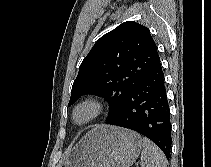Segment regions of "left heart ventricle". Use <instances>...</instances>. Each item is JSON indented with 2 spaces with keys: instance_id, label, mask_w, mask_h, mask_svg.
Segmentation results:
<instances>
[{
  "instance_id": "1",
  "label": "left heart ventricle",
  "mask_w": 211,
  "mask_h": 167,
  "mask_svg": "<svg viewBox=\"0 0 211 167\" xmlns=\"http://www.w3.org/2000/svg\"><path fill=\"white\" fill-rule=\"evenodd\" d=\"M87 115H88V111H87V110H81V111L77 114V118H78L79 120H83Z\"/></svg>"
}]
</instances>
